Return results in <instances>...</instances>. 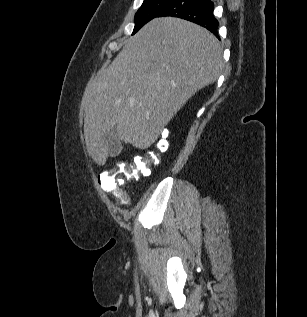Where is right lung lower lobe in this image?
<instances>
[{
    "mask_svg": "<svg viewBox=\"0 0 307 317\" xmlns=\"http://www.w3.org/2000/svg\"><path fill=\"white\" fill-rule=\"evenodd\" d=\"M214 4L211 0H173L158 17L172 16L199 24L218 38V21L213 15Z\"/></svg>",
    "mask_w": 307,
    "mask_h": 317,
    "instance_id": "right-lung-lower-lobe-1",
    "label": "right lung lower lobe"
}]
</instances>
